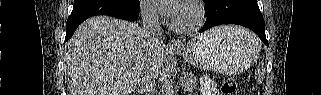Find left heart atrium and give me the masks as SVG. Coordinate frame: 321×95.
Listing matches in <instances>:
<instances>
[{
    "label": "left heart atrium",
    "instance_id": "1",
    "mask_svg": "<svg viewBox=\"0 0 321 95\" xmlns=\"http://www.w3.org/2000/svg\"><path fill=\"white\" fill-rule=\"evenodd\" d=\"M154 2L164 15L170 17H176L184 8L182 0H154Z\"/></svg>",
    "mask_w": 321,
    "mask_h": 95
}]
</instances>
